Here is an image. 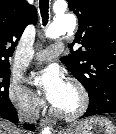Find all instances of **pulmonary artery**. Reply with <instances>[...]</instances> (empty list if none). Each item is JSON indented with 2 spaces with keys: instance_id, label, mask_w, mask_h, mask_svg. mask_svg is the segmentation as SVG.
Returning a JSON list of instances; mask_svg holds the SVG:
<instances>
[{
  "instance_id": "1",
  "label": "pulmonary artery",
  "mask_w": 116,
  "mask_h": 134,
  "mask_svg": "<svg viewBox=\"0 0 116 134\" xmlns=\"http://www.w3.org/2000/svg\"><path fill=\"white\" fill-rule=\"evenodd\" d=\"M64 50L61 43H55L46 49H42L35 53L34 57L38 61H50L60 55Z\"/></svg>"
}]
</instances>
